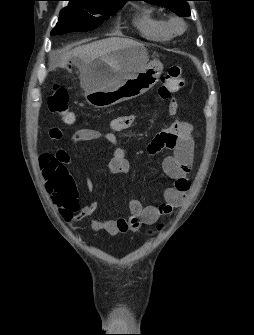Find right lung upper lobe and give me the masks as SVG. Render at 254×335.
Listing matches in <instances>:
<instances>
[{"instance_id":"1","label":"right lung upper lobe","mask_w":254,"mask_h":335,"mask_svg":"<svg viewBox=\"0 0 254 335\" xmlns=\"http://www.w3.org/2000/svg\"><path fill=\"white\" fill-rule=\"evenodd\" d=\"M92 2H100V3H111V4H124L128 0H87Z\"/></svg>"}]
</instances>
